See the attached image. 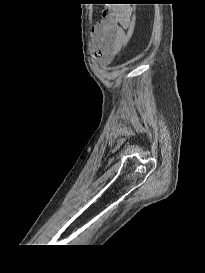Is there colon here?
Returning <instances> with one entry per match:
<instances>
[{
	"label": "colon",
	"instance_id": "obj_1",
	"mask_svg": "<svg viewBox=\"0 0 205 273\" xmlns=\"http://www.w3.org/2000/svg\"><path fill=\"white\" fill-rule=\"evenodd\" d=\"M135 28H136V25L135 24H132L129 28V38H131L134 34V31H135Z\"/></svg>",
	"mask_w": 205,
	"mask_h": 273
}]
</instances>
